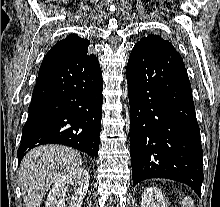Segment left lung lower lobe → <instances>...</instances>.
<instances>
[{"label": "left lung lower lobe", "instance_id": "0a47b994", "mask_svg": "<svg viewBox=\"0 0 220 207\" xmlns=\"http://www.w3.org/2000/svg\"><path fill=\"white\" fill-rule=\"evenodd\" d=\"M126 78L133 185L149 178H166L187 184L200 197V129L180 54L135 45Z\"/></svg>", "mask_w": 220, "mask_h": 207}]
</instances>
